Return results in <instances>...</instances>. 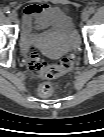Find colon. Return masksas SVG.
Instances as JSON below:
<instances>
[{"label": "colon", "instance_id": "obj_1", "mask_svg": "<svg viewBox=\"0 0 104 137\" xmlns=\"http://www.w3.org/2000/svg\"><path fill=\"white\" fill-rule=\"evenodd\" d=\"M27 58L30 69L46 79L59 77L70 71L75 64L74 54H69L56 64H47L34 48L28 50ZM38 93L43 97L50 96L53 93V85L50 82L42 83L38 88Z\"/></svg>", "mask_w": 104, "mask_h": 137}]
</instances>
